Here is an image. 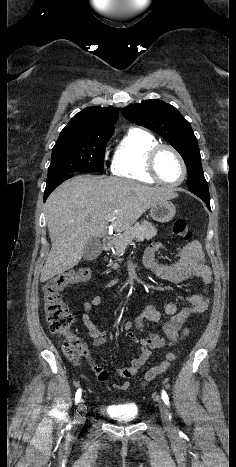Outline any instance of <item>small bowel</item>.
<instances>
[{"label":"small bowel","instance_id":"small-bowel-1","mask_svg":"<svg viewBox=\"0 0 236 467\" xmlns=\"http://www.w3.org/2000/svg\"><path fill=\"white\" fill-rule=\"evenodd\" d=\"M162 248L158 243L150 245L144 252L143 265L144 267L162 280L169 282H181L192 276L200 278L204 283V289L187 297V306L178 310L175 303L169 302L164 306L163 314L156 309L154 302L148 303L142 313L138 315L133 322H125L123 325L124 332L137 346L136 356L132 359L131 364L127 367L117 369V374L123 379L134 377L140 368L145 364L150 356L151 350L160 349L168 345H172L179 336V331L187 320L193 315L202 313L209 306V286L211 284V272L205 264L204 255L198 243L194 242L182 246L179 250V261L170 264L162 265L156 260L157 252ZM102 301V294L94 296L91 300L84 302L82 307L81 320L88 336L93 339V346L102 345L107 340V333L101 331L92 321L90 313L93 307L99 305ZM162 323V330L165 337L156 333H150L146 337L137 336L133 332V328L139 331L146 330V323ZM92 369L101 382L109 380L108 372L97 365H93ZM113 386L126 391L129 388L128 381L113 383Z\"/></svg>","mask_w":236,"mask_h":467}]
</instances>
